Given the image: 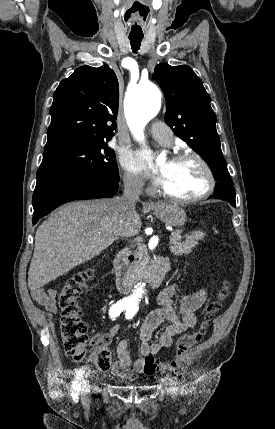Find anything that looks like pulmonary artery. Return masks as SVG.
<instances>
[{
	"label": "pulmonary artery",
	"mask_w": 275,
	"mask_h": 429,
	"mask_svg": "<svg viewBox=\"0 0 275 429\" xmlns=\"http://www.w3.org/2000/svg\"><path fill=\"white\" fill-rule=\"evenodd\" d=\"M153 138L162 145L169 146L172 143V132L165 126L154 124L151 128Z\"/></svg>",
	"instance_id": "1"
}]
</instances>
